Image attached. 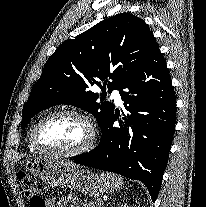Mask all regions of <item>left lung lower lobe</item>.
<instances>
[{"label":"left lung lower lobe","mask_w":206,"mask_h":207,"mask_svg":"<svg viewBox=\"0 0 206 207\" xmlns=\"http://www.w3.org/2000/svg\"><path fill=\"white\" fill-rule=\"evenodd\" d=\"M124 89V91H123ZM127 114L115 110L99 145L74 163L140 180L157 199L176 122V99L157 45L119 88ZM120 118V128L114 122Z\"/></svg>","instance_id":"1"}]
</instances>
